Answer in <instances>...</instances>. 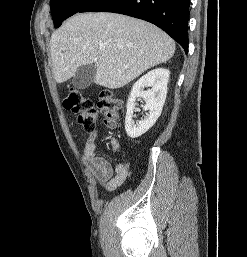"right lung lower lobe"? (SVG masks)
<instances>
[{
    "label": "right lung lower lobe",
    "instance_id": "98d812e1",
    "mask_svg": "<svg viewBox=\"0 0 247 257\" xmlns=\"http://www.w3.org/2000/svg\"><path fill=\"white\" fill-rule=\"evenodd\" d=\"M190 0H91L79 12H114L146 20L170 35L188 52Z\"/></svg>",
    "mask_w": 247,
    "mask_h": 257
}]
</instances>
